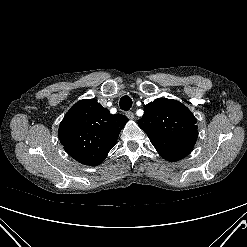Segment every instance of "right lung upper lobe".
Wrapping results in <instances>:
<instances>
[{"label": "right lung upper lobe", "mask_w": 247, "mask_h": 247, "mask_svg": "<svg viewBox=\"0 0 247 247\" xmlns=\"http://www.w3.org/2000/svg\"><path fill=\"white\" fill-rule=\"evenodd\" d=\"M127 121L122 114H110L96 99H84L66 113L58 136L67 153L79 163L99 165Z\"/></svg>", "instance_id": "obj_1"}]
</instances>
